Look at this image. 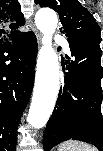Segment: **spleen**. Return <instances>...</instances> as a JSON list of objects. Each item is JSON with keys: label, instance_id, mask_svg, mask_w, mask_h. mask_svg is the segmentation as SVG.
Listing matches in <instances>:
<instances>
[{"label": "spleen", "instance_id": "obj_1", "mask_svg": "<svg viewBox=\"0 0 103 151\" xmlns=\"http://www.w3.org/2000/svg\"><path fill=\"white\" fill-rule=\"evenodd\" d=\"M58 151H96V149L84 142L69 140L67 142H63L59 146Z\"/></svg>", "mask_w": 103, "mask_h": 151}]
</instances>
